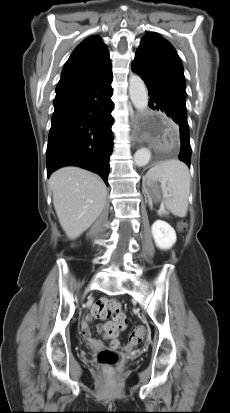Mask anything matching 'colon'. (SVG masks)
<instances>
[{"label": "colon", "instance_id": "1", "mask_svg": "<svg viewBox=\"0 0 230 413\" xmlns=\"http://www.w3.org/2000/svg\"><path fill=\"white\" fill-rule=\"evenodd\" d=\"M121 303L115 299H101L98 300L93 306V315L101 320H115L121 312ZM115 327L109 330L112 337V346L117 347L118 342L115 340ZM146 336V330L142 326L136 327L129 338L128 349L139 345ZM97 362L104 367L108 372L118 362V354L112 349H105L98 353Z\"/></svg>", "mask_w": 230, "mask_h": 413}]
</instances>
